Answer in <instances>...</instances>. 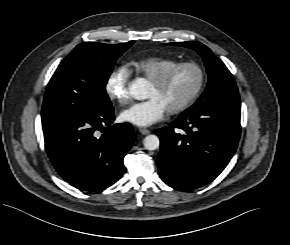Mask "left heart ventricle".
<instances>
[{"mask_svg":"<svg viewBox=\"0 0 290 245\" xmlns=\"http://www.w3.org/2000/svg\"><path fill=\"white\" fill-rule=\"evenodd\" d=\"M198 81L199 74L196 70L192 68L179 69L162 87L150 83L146 97L157 98L169 110L183 102L194 91Z\"/></svg>","mask_w":290,"mask_h":245,"instance_id":"left-heart-ventricle-1","label":"left heart ventricle"}]
</instances>
